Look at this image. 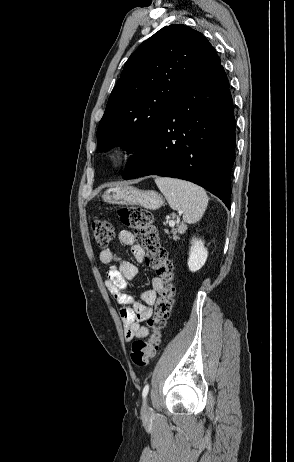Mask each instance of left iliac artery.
<instances>
[{"label": "left iliac artery", "mask_w": 294, "mask_h": 462, "mask_svg": "<svg viewBox=\"0 0 294 462\" xmlns=\"http://www.w3.org/2000/svg\"><path fill=\"white\" fill-rule=\"evenodd\" d=\"M148 391H149V384L147 383L144 388H143V391H142V396L143 398L145 399L147 394H148Z\"/></svg>", "instance_id": "44dca946"}]
</instances>
